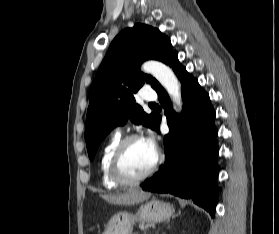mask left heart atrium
Returning <instances> with one entry per match:
<instances>
[{
	"instance_id": "1",
	"label": "left heart atrium",
	"mask_w": 279,
	"mask_h": 234,
	"mask_svg": "<svg viewBox=\"0 0 279 234\" xmlns=\"http://www.w3.org/2000/svg\"><path fill=\"white\" fill-rule=\"evenodd\" d=\"M147 144L154 150L157 152V143L155 138L153 137V135H148L145 139H144Z\"/></svg>"
}]
</instances>
